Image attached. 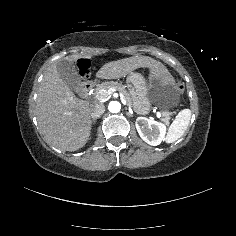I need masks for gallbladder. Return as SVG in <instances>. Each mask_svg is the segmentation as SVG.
<instances>
[{
  "label": "gallbladder",
  "instance_id": "1",
  "mask_svg": "<svg viewBox=\"0 0 236 236\" xmlns=\"http://www.w3.org/2000/svg\"><path fill=\"white\" fill-rule=\"evenodd\" d=\"M60 78L72 89L80 88L81 77L72 61L62 58L56 63Z\"/></svg>",
  "mask_w": 236,
  "mask_h": 236
}]
</instances>
